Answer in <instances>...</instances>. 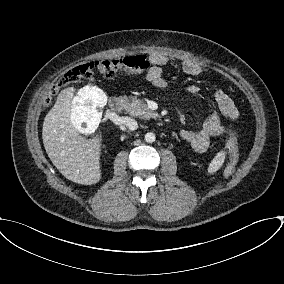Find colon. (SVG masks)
<instances>
[{"label":"colon","instance_id":"obj_1","mask_svg":"<svg viewBox=\"0 0 284 284\" xmlns=\"http://www.w3.org/2000/svg\"><path fill=\"white\" fill-rule=\"evenodd\" d=\"M149 67L146 56L133 55L116 59H106L88 62L67 71L49 90L47 100L56 95L60 89L72 83L91 79L95 74L104 78H114L120 74L132 75L145 71ZM238 150L237 137L233 129H227V162L224 168L225 176L232 175L237 167Z\"/></svg>","mask_w":284,"mask_h":284}]
</instances>
